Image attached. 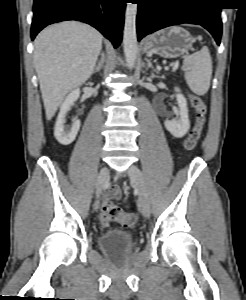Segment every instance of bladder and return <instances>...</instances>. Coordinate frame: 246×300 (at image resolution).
<instances>
[{"instance_id":"obj_1","label":"bladder","mask_w":246,"mask_h":300,"mask_svg":"<svg viewBox=\"0 0 246 300\" xmlns=\"http://www.w3.org/2000/svg\"><path fill=\"white\" fill-rule=\"evenodd\" d=\"M134 235L121 229H110L101 233L98 244L101 250L114 258L124 257L132 248Z\"/></svg>"}]
</instances>
